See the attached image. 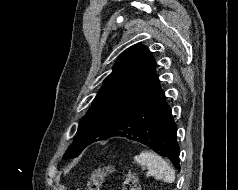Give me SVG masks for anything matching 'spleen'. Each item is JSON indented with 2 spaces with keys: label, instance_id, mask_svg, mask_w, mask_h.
<instances>
[{
  "label": "spleen",
  "instance_id": "obj_1",
  "mask_svg": "<svg viewBox=\"0 0 238 190\" xmlns=\"http://www.w3.org/2000/svg\"><path fill=\"white\" fill-rule=\"evenodd\" d=\"M135 160L146 166L152 176L157 180H163L166 183H173L175 180L174 169L159 155L144 151L139 156H135Z\"/></svg>",
  "mask_w": 238,
  "mask_h": 190
}]
</instances>
